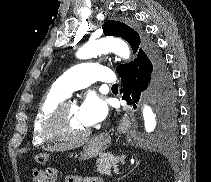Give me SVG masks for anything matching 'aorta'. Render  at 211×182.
<instances>
[{"label": "aorta", "mask_w": 211, "mask_h": 182, "mask_svg": "<svg viewBox=\"0 0 211 182\" xmlns=\"http://www.w3.org/2000/svg\"><path fill=\"white\" fill-rule=\"evenodd\" d=\"M109 52H113L123 59H129L130 57V49L127 43L119 38L113 37L87 42L78 50L76 56L79 59H89ZM143 118L146 132H153L157 126V114L148 105L143 107Z\"/></svg>", "instance_id": "obj_1"}]
</instances>
